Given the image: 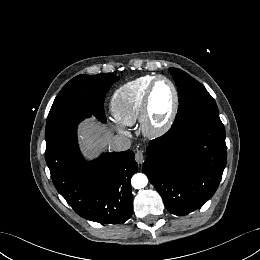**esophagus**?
I'll return each mask as SVG.
<instances>
[{
	"mask_svg": "<svg viewBox=\"0 0 260 260\" xmlns=\"http://www.w3.org/2000/svg\"><path fill=\"white\" fill-rule=\"evenodd\" d=\"M135 160L138 164H142L145 161V154L143 151H137L135 154Z\"/></svg>",
	"mask_w": 260,
	"mask_h": 260,
	"instance_id": "34e87169",
	"label": "esophagus"
}]
</instances>
